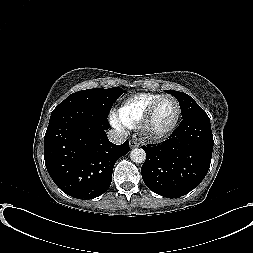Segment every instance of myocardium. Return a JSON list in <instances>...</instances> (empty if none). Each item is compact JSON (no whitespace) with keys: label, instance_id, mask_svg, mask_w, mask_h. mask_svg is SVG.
<instances>
[{"label":"myocardium","instance_id":"obj_1","mask_svg":"<svg viewBox=\"0 0 253 253\" xmlns=\"http://www.w3.org/2000/svg\"><path fill=\"white\" fill-rule=\"evenodd\" d=\"M164 99H172L175 102L176 109H177L175 119L173 120L172 124L165 130L153 131L151 129V123L153 121L158 105ZM180 117H181V105L178 99L175 96L169 95V94L161 95L149 106L147 112L145 113L143 119L141 120L139 124V130L141 134L147 139L160 141L167 138L175 130V128L177 127L179 123Z\"/></svg>","mask_w":253,"mask_h":253}]
</instances>
